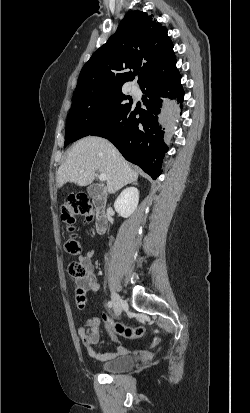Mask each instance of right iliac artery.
<instances>
[{"label": "right iliac artery", "instance_id": "obj_1", "mask_svg": "<svg viewBox=\"0 0 250 413\" xmlns=\"http://www.w3.org/2000/svg\"><path fill=\"white\" fill-rule=\"evenodd\" d=\"M107 306H108L109 308H112V307H113V303H112L111 301H109V302L107 303Z\"/></svg>", "mask_w": 250, "mask_h": 413}]
</instances>
